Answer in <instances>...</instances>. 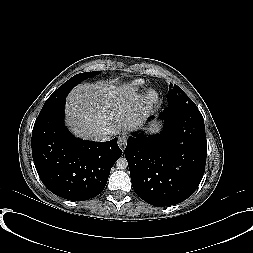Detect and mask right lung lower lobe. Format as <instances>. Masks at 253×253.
Listing matches in <instances>:
<instances>
[{
    "mask_svg": "<svg viewBox=\"0 0 253 253\" xmlns=\"http://www.w3.org/2000/svg\"><path fill=\"white\" fill-rule=\"evenodd\" d=\"M61 101L43 106L32 131V156L43 184L55 195L84 201L100 194L122 151L117 138L93 142L75 138L64 126Z\"/></svg>",
    "mask_w": 253,
    "mask_h": 253,
    "instance_id": "obj_1",
    "label": "right lung lower lobe"
}]
</instances>
